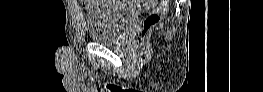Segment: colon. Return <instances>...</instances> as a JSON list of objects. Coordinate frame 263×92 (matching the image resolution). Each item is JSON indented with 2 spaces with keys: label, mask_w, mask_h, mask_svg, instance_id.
Returning <instances> with one entry per match:
<instances>
[{
  "label": "colon",
  "mask_w": 263,
  "mask_h": 92,
  "mask_svg": "<svg viewBox=\"0 0 263 92\" xmlns=\"http://www.w3.org/2000/svg\"><path fill=\"white\" fill-rule=\"evenodd\" d=\"M156 7L145 17L143 22L142 37H146L148 32L156 26L162 16L167 12L169 6V0L153 1Z\"/></svg>",
  "instance_id": "1"
}]
</instances>
